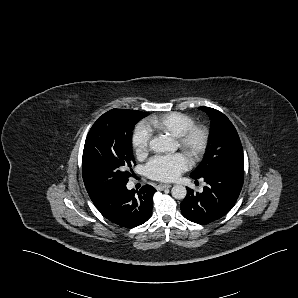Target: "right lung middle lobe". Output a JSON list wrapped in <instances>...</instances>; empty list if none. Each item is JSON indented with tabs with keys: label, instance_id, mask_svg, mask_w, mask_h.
<instances>
[{
	"label": "right lung middle lobe",
	"instance_id": "dd1d6c3e",
	"mask_svg": "<svg viewBox=\"0 0 298 298\" xmlns=\"http://www.w3.org/2000/svg\"><path fill=\"white\" fill-rule=\"evenodd\" d=\"M135 115L108 111L90 129L83 151L82 176L89 194L110 191L127 184L135 159L132 131ZM125 169L123 171V169Z\"/></svg>",
	"mask_w": 298,
	"mask_h": 298
}]
</instances>
